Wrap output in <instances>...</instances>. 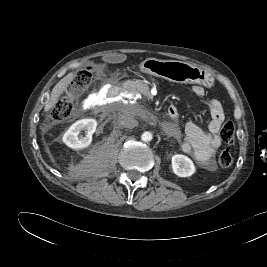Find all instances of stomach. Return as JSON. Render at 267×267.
Wrapping results in <instances>:
<instances>
[{"label":"stomach","instance_id":"0dacf381","mask_svg":"<svg viewBox=\"0 0 267 267\" xmlns=\"http://www.w3.org/2000/svg\"><path fill=\"white\" fill-rule=\"evenodd\" d=\"M142 72L181 84H201L211 87L213 76L206 70L187 62L147 58L140 64Z\"/></svg>","mask_w":267,"mask_h":267}]
</instances>
